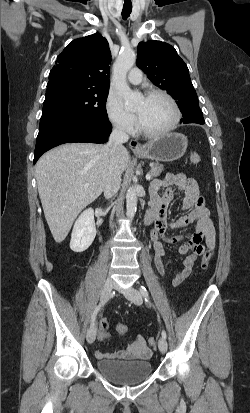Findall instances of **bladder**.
<instances>
[{"label":"bladder","instance_id":"31cf9c89","mask_svg":"<svg viewBox=\"0 0 250 413\" xmlns=\"http://www.w3.org/2000/svg\"><path fill=\"white\" fill-rule=\"evenodd\" d=\"M96 367L101 374L121 385L139 383L152 373V365L148 360L99 359Z\"/></svg>","mask_w":250,"mask_h":413}]
</instances>
